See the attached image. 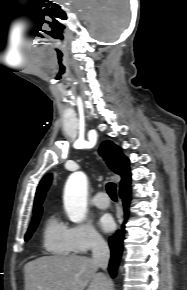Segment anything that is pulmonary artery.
I'll return each mask as SVG.
<instances>
[{
  "label": "pulmonary artery",
  "mask_w": 187,
  "mask_h": 290,
  "mask_svg": "<svg viewBox=\"0 0 187 290\" xmlns=\"http://www.w3.org/2000/svg\"><path fill=\"white\" fill-rule=\"evenodd\" d=\"M93 203L101 209H105L110 205L109 198L105 192H98L95 194Z\"/></svg>",
  "instance_id": "1"
}]
</instances>
